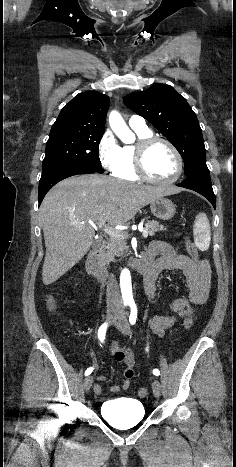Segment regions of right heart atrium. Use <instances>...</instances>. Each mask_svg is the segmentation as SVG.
<instances>
[{"label": "right heart atrium", "mask_w": 236, "mask_h": 467, "mask_svg": "<svg viewBox=\"0 0 236 467\" xmlns=\"http://www.w3.org/2000/svg\"><path fill=\"white\" fill-rule=\"evenodd\" d=\"M97 155L101 166L114 171L121 160V147L110 131H105L97 145Z\"/></svg>", "instance_id": "obj_1"}]
</instances>
